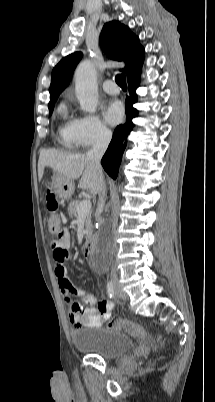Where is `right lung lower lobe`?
I'll list each match as a JSON object with an SVG mask.
<instances>
[{
	"mask_svg": "<svg viewBox=\"0 0 215 402\" xmlns=\"http://www.w3.org/2000/svg\"><path fill=\"white\" fill-rule=\"evenodd\" d=\"M139 82V76L128 80L129 96L126 97V123L116 127L109 147L101 160L103 168L114 179L118 175L122 154L127 145V137L134 126L132 118L138 115L133 104L137 102L135 90L139 87Z\"/></svg>",
	"mask_w": 215,
	"mask_h": 402,
	"instance_id": "right-lung-lower-lobe-1",
	"label": "right lung lower lobe"
}]
</instances>
